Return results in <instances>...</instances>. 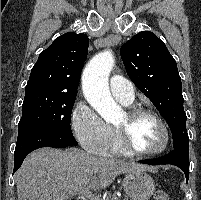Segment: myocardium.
I'll use <instances>...</instances> for the list:
<instances>
[{
    "label": "myocardium",
    "instance_id": "f54148a6",
    "mask_svg": "<svg viewBox=\"0 0 201 200\" xmlns=\"http://www.w3.org/2000/svg\"><path fill=\"white\" fill-rule=\"evenodd\" d=\"M126 115L128 118V124L125 126H116L120 144L125 152L133 156L147 157V156L159 155L168 148L170 143L169 129L164 120L157 113L145 108L133 107L126 113ZM142 117L152 118L154 121H156V123L162 130L163 142L161 146L158 147L157 149L149 151H141L136 149L130 140V126Z\"/></svg>",
    "mask_w": 201,
    "mask_h": 200
}]
</instances>
